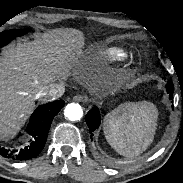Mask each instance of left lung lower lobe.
<instances>
[{
    "instance_id": "0a47b994",
    "label": "left lung lower lobe",
    "mask_w": 183,
    "mask_h": 183,
    "mask_svg": "<svg viewBox=\"0 0 183 183\" xmlns=\"http://www.w3.org/2000/svg\"><path fill=\"white\" fill-rule=\"evenodd\" d=\"M167 93L170 94V99L173 95L174 86L171 81H168L166 84ZM101 118L100 113L97 107H93L88 114L86 115V123L89 127L90 136H93L92 132H94L100 125Z\"/></svg>"
}]
</instances>
